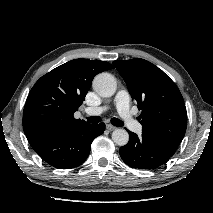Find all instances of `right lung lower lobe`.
I'll list each match as a JSON object with an SVG mask.
<instances>
[{"mask_svg":"<svg viewBox=\"0 0 213 213\" xmlns=\"http://www.w3.org/2000/svg\"><path fill=\"white\" fill-rule=\"evenodd\" d=\"M104 130V123H86L62 134L31 133L26 136L45 162L58 169H71L87 159L91 143Z\"/></svg>","mask_w":213,"mask_h":213,"instance_id":"right-lung-lower-lobe-1","label":"right lung lower lobe"}]
</instances>
